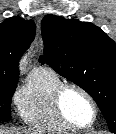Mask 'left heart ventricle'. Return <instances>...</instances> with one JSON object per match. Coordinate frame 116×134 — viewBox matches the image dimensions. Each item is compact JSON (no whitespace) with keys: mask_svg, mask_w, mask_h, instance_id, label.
I'll list each match as a JSON object with an SVG mask.
<instances>
[{"mask_svg":"<svg viewBox=\"0 0 116 134\" xmlns=\"http://www.w3.org/2000/svg\"><path fill=\"white\" fill-rule=\"evenodd\" d=\"M63 107L66 115L77 124L87 125L92 120L93 111L90 102L75 89H69L65 92Z\"/></svg>","mask_w":116,"mask_h":134,"instance_id":"b2bd125f","label":"left heart ventricle"}]
</instances>
